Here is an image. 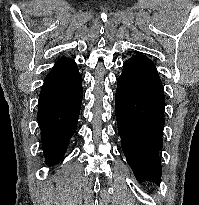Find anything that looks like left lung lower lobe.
<instances>
[{
	"label": "left lung lower lobe",
	"instance_id": "left-lung-lower-lobe-1",
	"mask_svg": "<svg viewBox=\"0 0 199 205\" xmlns=\"http://www.w3.org/2000/svg\"><path fill=\"white\" fill-rule=\"evenodd\" d=\"M115 115L122 149L138 181L161 182L164 90L154 63L137 54L117 80Z\"/></svg>",
	"mask_w": 199,
	"mask_h": 205
}]
</instances>
